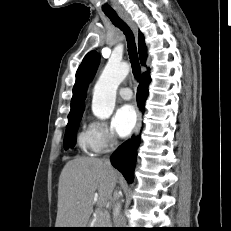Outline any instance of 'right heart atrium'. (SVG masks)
Returning <instances> with one entry per match:
<instances>
[{
    "mask_svg": "<svg viewBox=\"0 0 231 231\" xmlns=\"http://www.w3.org/2000/svg\"><path fill=\"white\" fill-rule=\"evenodd\" d=\"M90 128L99 145L100 151H106L115 147L118 143L117 136L112 127L103 121H92Z\"/></svg>",
    "mask_w": 231,
    "mask_h": 231,
    "instance_id": "d8ad5b80",
    "label": "right heart atrium"
}]
</instances>
